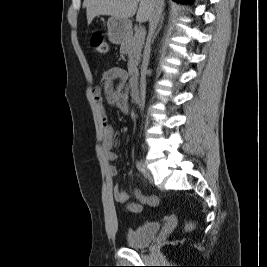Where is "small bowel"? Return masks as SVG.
<instances>
[{
    "instance_id": "1",
    "label": "small bowel",
    "mask_w": 267,
    "mask_h": 267,
    "mask_svg": "<svg viewBox=\"0 0 267 267\" xmlns=\"http://www.w3.org/2000/svg\"><path fill=\"white\" fill-rule=\"evenodd\" d=\"M94 100L98 104L100 117L102 122V147L105 157L108 161H115L117 154L114 151L115 131L109 123L108 115L103 106V97H105L107 104L128 114L130 111V104L128 98L127 72L119 67H113L103 72L100 84L95 86L92 90ZM109 174L112 177L117 176L118 170L115 165H110L108 168ZM137 202L127 203V210L131 213H140L143 205L156 206L159 199L155 195H143L140 191L135 190ZM113 197L118 203H126L129 199V192L115 186L113 189ZM168 222L173 223L175 217H168Z\"/></svg>"
}]
</instances>
